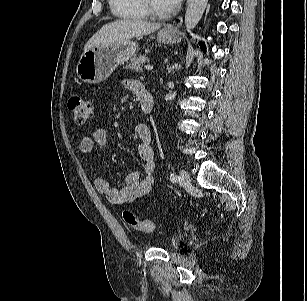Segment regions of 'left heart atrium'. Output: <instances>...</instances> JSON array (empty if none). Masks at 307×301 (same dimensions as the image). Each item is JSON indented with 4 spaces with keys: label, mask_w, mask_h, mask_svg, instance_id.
Returning <instances> with one entry per match:
<instances>
[{
    "label": "left heart atrium",
    "mask_w": 307,
    "mask_h": 301,
    "mask_svg": "<svg viewBox=\"0 0 307 301\" xmlns=\"http://www.w3.org/2000/svg\"><path fill=\"white\" fill-rule=\"evenodd\" d=\"M162 1L164 2V4L167 6L169 10L176 7L180 2V0H162Z\"/></svg>",
    "instance_id": "obj_1"
}]
</instances>
